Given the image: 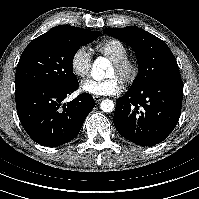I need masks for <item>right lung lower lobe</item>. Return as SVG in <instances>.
I'll return each mask as SVG.
<instances>
[{
	"instance_id": "1",
	"label": "right lung lower lobe",
	"mask_w": 199,
	"mask_h": 199,
	"mask_svg": "<svg viewBox=\"0 0 199 199\" xmlns=\"http://www.w3.org/2000/svg\"><path fill=\"white\" fill-rule=\"evenodd\" d=\"M79 86L28 84L16 87L15 101L19 119L27 134L43 146L56 147L74 139L95 106L93 97L82 93L70 102H61Z\"/></svg>"
}]
</instances>
